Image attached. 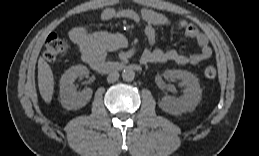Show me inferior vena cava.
<instances>
[{
    "label": "inferior vena cava",
    "instance_id": "602c4592",
    "mask_svg": "<svg viewBox=\"0 0 259 156\" xmlns=\"http://www.w3.org/2000/svg\"><path fill=\"white\" fill-rule=\"evenodd\" d=\"M118 79H119V73L117 71H113L109 73V75L107 76V81L109 83L116 82Z\"/></svg>",
    "mask_w": 259,
    "mask_h": 156
}]
</instances>
